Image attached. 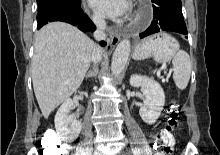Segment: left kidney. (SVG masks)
<instances>
[{
    "label": "left kidney",
    "instance_id": "1",
    "mask_svg": "<svg viewBox=\"0 0 220 155\" xmlns=\"http://www.w3.org/2000/svg\"><path fill=\"white\" fill-rule=\"evenodd\" d=\"M130 85L141 87L145 99L139 110L140 117L145 123L154 124L165 105V94L162 87L153 78L138 74H133L130 77Z\"/></svg>",
    "mask_w": 220,
    "mask_h": 155
}]
</instances>
